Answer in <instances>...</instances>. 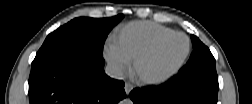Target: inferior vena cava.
I'll list each match as a JSON object with an SVG mask.
<instances>
[{"label": "inferior vena cava", "mask_w": 252, "mask_h": 104, "mask_svg": "<svg viewBox=\"0 0 252 104\" xmlns=\"http://www.w3.org/2000/svg\"><path fill=\"white\" fill-rule=\"evenodd\" d=\"M105 73L114 79H123L124 73L121 67L115 64H108L105 67Z\"/></svg>", "instance_id": "1"}]
</instances>
